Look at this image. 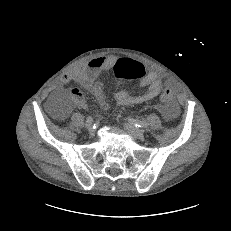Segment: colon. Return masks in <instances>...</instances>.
Returning a JSON list of instances; mask_svg holds the SVG:
<instances>
[{"label":"colon","mask_w":231,"mask_h":231,"mask_svg":"<svg viewBox=\"0 0 231 231\" xmlns=\"http://www.w3.org/2000/svg\"><path fill=\"white\" fill-rule=\"evenodd\" d=\"M113 73L117 79L127 80V79H138L145 75V67L132 59L122 58L119 59L113 66ZM94 90L101 94V85L99 82L94 84ZM172 98V93L170 90H165L161 96L162 101L167 102Z\"/></svg>","instance_id":"colon-1"}]
</instances>
